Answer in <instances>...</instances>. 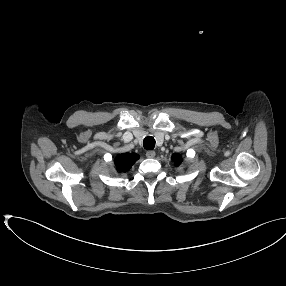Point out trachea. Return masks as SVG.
Returning <instances> with one entry per match:
<instances>
[{"label":"trachea","mask_w":286,"mask_h":286,"mask_svg":"<svg viewBox=\"0 0 286 286\" xmlns=\"http://www.w3.org/2000/svg\"><path fill=\"white\" fill-rule=\"evenodd\" d=\"M143 146L146 150H152L155 147V139L152 136H147L143 140Z\"/></svg>","instance_id":"trachea-1"}]
</instances>
